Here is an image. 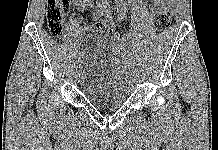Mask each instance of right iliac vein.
Masks as SVG:
<instances>
[{
	"instance_id": "63e3f726",
	"label": "right iliac vein",
	"mask_w": 218,
	"mask_h": 150,
	"mask_svg": "<svg viewBox=\"0 0 218 150\" xmlns=\"http://www.w3.org/2000/svg\"><path fill=\"white\" fill-rule=\"evenodd\" d=\"M78 62H80V60H79V59H78ZM79 71H80L79 67H78V68H76V77L78 76V74H79Z\"/></svg>"
}]
</instances>
